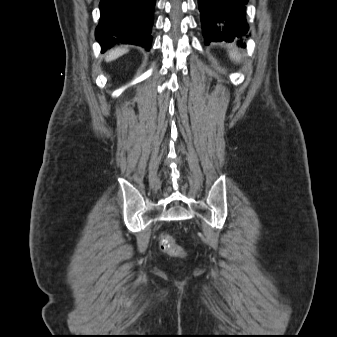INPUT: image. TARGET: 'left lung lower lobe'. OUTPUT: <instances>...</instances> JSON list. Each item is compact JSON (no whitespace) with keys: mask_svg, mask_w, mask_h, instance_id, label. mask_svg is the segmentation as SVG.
Segmentation results:
<instances>
[{"mask_svg":"<svg viewBox=\"0 0 337 337\" xmlns=\"http://www.w3.org/2000/svg\"><path fill=\"white\" fill-rule=\"evenodd\" d=\"M247 1L198 0L206 45L210 42L234 40L241 45L243 39L249 37V26L245 18Z\"/></svg>","mask_w":337,"mask_h":337,"instance_id":"1","label":"left lung lower lobe"}]
</instances>
